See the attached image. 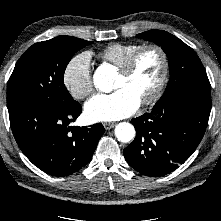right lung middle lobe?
<instances>
[{"mask_svg": "<svg viewBox=\"0 0 221 221\" xmlns=\"http://www.w3.org/2000/svg\"><path fill=\"white\" fill-rule=\"evenodd\" d=\"M92 43L62 35L28 48L9 78L8 107L34 100L47 106L73 103L64 85V72L73 55Z\"/></svg>", "mask_w": 221, "mask_h": 221, "instance_id": "obj_1", "label": "right lung middle lobe"}]
</instances>
